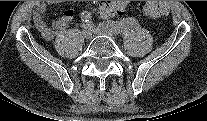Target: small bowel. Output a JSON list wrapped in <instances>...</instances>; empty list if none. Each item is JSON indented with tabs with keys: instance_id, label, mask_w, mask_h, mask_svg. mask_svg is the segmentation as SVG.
Listing matches in <instances>:
<instances>
[{
	"instance_id": "small-bowel-1",
	"label": "small bowel",
	"mask_w": 207,
	"mask_h": 121,
	"mask_svg": "<svg viewBox=\"0 0 207 121\" xmlns=\"http://www.w3.org/2000/svg\"><path fill=\"white\" fill-rule=\"evenodd\" d=\"M49 4H52V2H39L33 15L34 24L45 40L53 39L55 35L64 30L74 15L73 10L68 9L61 17L55 19L51 25H48L44 17ZM124 7V2L102 1L99 8L104 14L101 17L105 19L111 18L115 14L122 12Z\"/></svg>"
}]
</instances>
